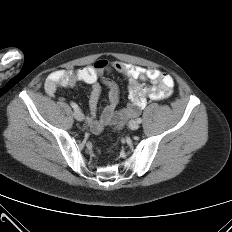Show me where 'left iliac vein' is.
Masks as SVG:
<instances>
[{
    "label": "left iliac vein",
    "mask_w": 232,
    "mask_h": 232,
    "mask_svg": "<svg viewBox=\"0 0 232 232\" xmlns=\"http://www.w3.org/2000/svg\"><path fill=\"white\" fill-rule=\"evenodd\" d=\"M129 127L132 129V130H137L139 128V124L136 120H132L130 121L129 123Z\"/></svg>",
    "instance_id": "4c4485c4"
}]
</instances>
